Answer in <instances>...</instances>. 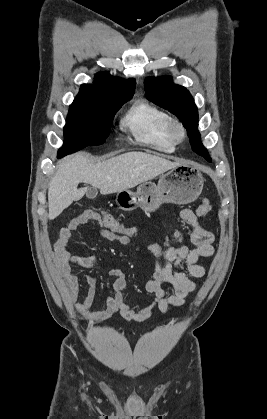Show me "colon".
<instances>
[{"label":"colon","mask_w":267,"mask_h":419,"mask_svg":"<svg viewBox=\"0 0 267 419\" xmlns=\"http://www.w3.org/2000/svg\"><path fill=\"white\" fill-rule=\"evenodd\" d=\"M211 210V206L208 200H204L196 209V214L198 216H205ZM101 224L104 228L108 229L114 233L121 244L124 245H136L138 244L136 240V229L134 227L127 226L115 219L111 214L106 212L101 213ZM176 238H179V235H176Z\"/></svg>","instance_id":"colon-1"}]
</instances>
